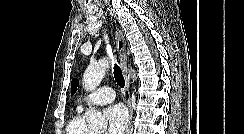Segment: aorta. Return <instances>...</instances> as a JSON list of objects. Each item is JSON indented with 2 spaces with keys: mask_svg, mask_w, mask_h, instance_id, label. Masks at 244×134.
<instances>
[{
  "mask_svg": "<svg viewBox=\"0 0 244 134\" xmlns=\"http://www.w3.org/2000/svg\"><path fill=\"white\" fill-rule=\"evenodd\" d=\"M108 67L109 61L105 58L90 63L83 74V83L86 91H93L99 86ZM134 76L135 74L132 75V77ZM85 115L90 127L104 128L106 126V122L99 111L89 109Z\"/></svg>",
  "mask_w": 244,
  "mask_h": 134,
  "instance_id": "1",
  "label": "aorta"
}]
</instances>
